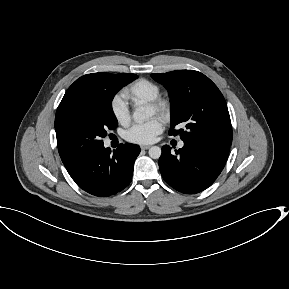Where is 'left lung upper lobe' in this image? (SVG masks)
Returning <instances> with one entry per match:
<instances>
[{"label":"left lung upper lobe","instance_id":"left-lung-upper-lobe-1","mask_svg":"<svg viewBox=\"0 0 289 289\" xmlns=\"http://www.w3.org/2000/svg\"><path fill=\"white\" fill-rule=\"evenodd\" d=\"M170 95L172 118L170 135L183 141H205L230 146L232 127L226 101L217 86L194 70L151 74ZM176 126L185 129L176 130Z\"/></svg>","mask_w":289,"mask_h":289}]
</instances>
